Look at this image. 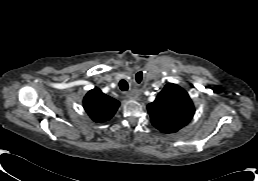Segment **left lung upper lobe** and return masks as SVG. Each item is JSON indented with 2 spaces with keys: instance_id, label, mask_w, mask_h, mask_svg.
<instances>
[{
  "instance_id": "left-lung-upper-lobe-1",
  "label": "left lung upper lobe",
  "mask_w": 258,
  "mask_h": 181,
  "mask_svg": "<svg viewBox=\"0 0 258 181\" xmlns=\"http://www.w3.org/2000/svg\"><path fill=\"white\" fill-rule=\"evenodd\" d=\"M152 124L163 133H174L193 117L195 109L188 93L176 84L169 83L147 106Z\"/></svg>"
}]
</instances>
